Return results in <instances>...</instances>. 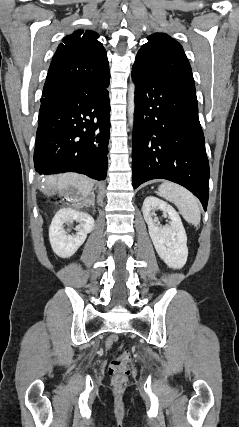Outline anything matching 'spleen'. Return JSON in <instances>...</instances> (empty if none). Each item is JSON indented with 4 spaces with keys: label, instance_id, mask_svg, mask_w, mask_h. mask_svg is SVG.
<instances>
[{
    "label": "spleen",
    "instance_id": "1",
    "mask_svg": "<svg viewBox=\"0 0 239 427\" xmlns=\"http://www.w3.org/2000/svg\"><path fill=\"white\" fill-rule=\"evenodd\" d=\"M158 195L173 203L188 223L200 224L201 213L198 200L188 190L177 184L164 182L158 188Z\"/></svg>",
    "mask_w": 239,
    "mask_h": 427
}]
</instances>
